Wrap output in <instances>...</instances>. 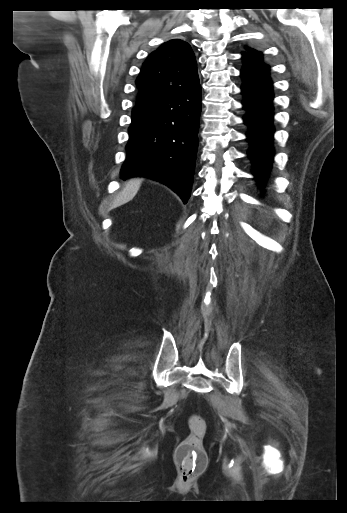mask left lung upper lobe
Here are the masks:
<instances>
[{"label":"left lung upper lobe","instance_id":"left-lung-upper-lobe-1","mask_svg":"<svg viewBox=\"0 0 347 513\" xmlns=\"http://www.w3.org/2000/svg\"><path fill=\"white\" fill-rule=\"evenodd\" d=\"M247 52H243V57H261V53L254 49L246 48Z\"/></svg>","mask_w":347,"mask_h":513}]
</instances>
